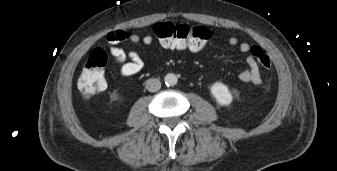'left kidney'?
Instances as JSON below:
<instances>
[{"mask_svg":"<svg viewBox=\"0 0 337 171\" xmlns=\"http://www.w3.org/2000/svg\"><path fill=\"white\" fill-rule=\"evenodd\" d=\"M211 93L216 101L222 106H228L233 100V96L228 87L222 82H216L211 86Z\"/></svg>","mask_w":337,"mask_h":171,"instance_id":"1","label":"left kidney"}]
</instances>
